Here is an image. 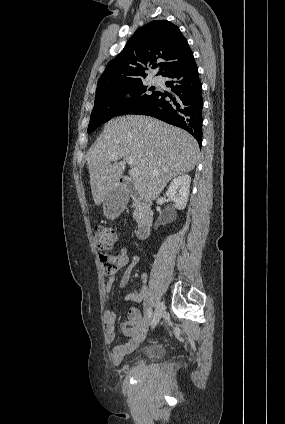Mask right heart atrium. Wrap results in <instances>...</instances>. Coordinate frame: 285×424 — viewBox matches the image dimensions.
I'll return each mask as SVG.
<instances>
[{
    "label": "right heart atrium",
    "mask_w": 285,
    "mask_h": 424,
    "mask_svg": "<svg viewBox=\"0 0 285 424\" xmlns=\"http://www.w3.org/2000/svg\"><path fill=\"white\" fill-rule=\"evenodd\" d=\"M123 97H124L126 100H130V99L133 97V94H132V92H130V91H126V92H124Z\"/></svg>",
    "instance_id": "d8ad5b80"
}]
</instances>
